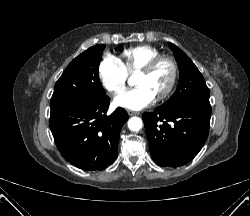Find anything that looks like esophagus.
Masks as SVG:
<instances>
[{
    "mask_svg": "<svg viewBox=\"0 0 250 216\" xmlns=\"http://www.w3.org/2000/svg\"><path fill=\"white\" fill-rule=\"evenodd\" d=\"M127 112H128V114H129L130 116H133V115L138 114V112H134V111H131V110H128Z\"/></svg>",
    "mask_w": 250,
    "mask_h": 216,
    "instance_id": "obj_1",
    "label": "esophagus"
}]
</instances>
